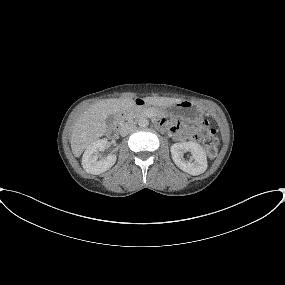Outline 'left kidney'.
Wrapping results in <instances>:
<instances>
[{
    "label": "left kidney",
    "instance_id": "obj_1",
    "mask_svg": "<svg viewBox=\"0 0 285 285\" xmlns=\"http://www.w3.org/2000/svg\"><path fill=\"white\" fill-rule=\"evenodd\" d=\"M171 155L174 163L184 172L191 175H200L207 169V157L202 146L196 142H181L171 146ZM192 154V160H185L184 152Z\"/></svg>",
    "mask_w": 285,
    "mask_h": 285
}]
</instances>
